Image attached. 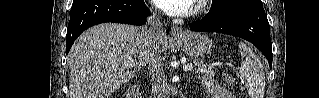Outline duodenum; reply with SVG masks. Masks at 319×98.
Returning a JSON list of instances; mask_svg holds the SVG:
<instances>
[{
  "label": "duodenum",
  "instance_id": "1",
  "mask_svg": "<svg viewBox=\"0 0 319 98\" xmlns=\"http://www.w3.org/2000/svg\"><path fill=\"white\" fill-rule=\"evenodd\" d=\"M127 98H141L137 84H131L127 90Z\"/></svg>",
  "mask_w": 319,
  "mask_h": 98
}]
</instances>
